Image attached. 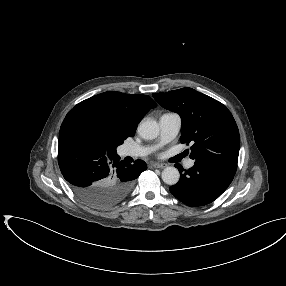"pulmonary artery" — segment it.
Here are the masks:
<instances>
[{"label": "pulmonary artery", "mask_w": 286, "mask_h": 286, "mask_svg": "<svg viewBox=\"0 0 286 286\" xmlns=\"http://www.w3.org/2000/svg\"><path fill=\"white\" fill-rule=\"evenodd\" d=\"M160 134L158 138V145H163L173 140L180 131L181 117L177 113H164L159 119ZM153 147L128 145L124 147V154L127 156L141 157L147 155ZM194 162L188 160L186 166L192 167Z\"/></svg>", "instance_id": "pulmonary-artery-1"}]
</instances>
